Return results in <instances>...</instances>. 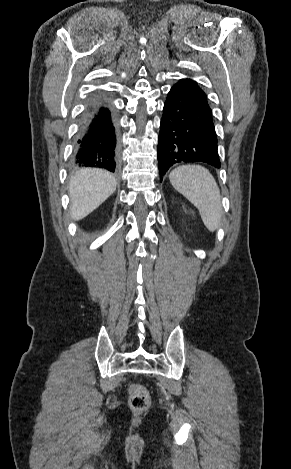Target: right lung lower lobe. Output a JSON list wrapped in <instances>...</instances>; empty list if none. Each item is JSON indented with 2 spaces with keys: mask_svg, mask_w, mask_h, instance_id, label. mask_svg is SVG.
<instances>
[{
  "mask_svg": "<svg viewBox=\"0 0 291 469\" xmlns=\"http://www.w3.org/2000/svg\"><path fill=\"white\" fill-rule=\"evenodd\" d=\"M118 162L119 139L116 118L105 102L93 99L81 117L73 166L99 167L114 172Z\"/></svg>",
  "mask_w": 291,
  "mask_h": 469,
  "instance_id": "1",
  "label": "right lung lower lobe"
}]
</instances>
